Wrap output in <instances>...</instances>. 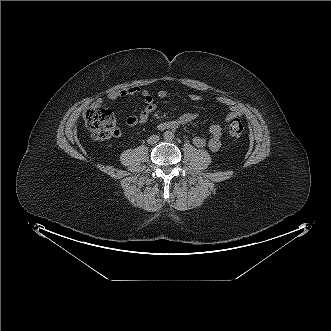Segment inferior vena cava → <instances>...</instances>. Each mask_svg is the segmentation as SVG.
<instances>
[{"instance_id": "1", "label": "inferior vena cava", "mask_w": 331, "mask_h": 331, "mask_svg": "<svg viewBox=\"0 0 331 331\" xmlns=\"http://www.w3.org/2000/svg\"><path fill=\"white\" fill-rule=\"evenodd\" d=\"M159 140H160V137H159V136H157V135H152V136H150V137L148 138L147 142H148L149 144H155V143H157Z\"/></svg>"}]
</instances>
